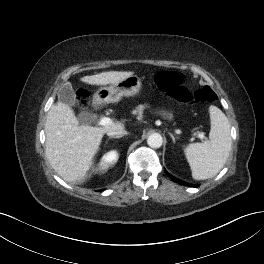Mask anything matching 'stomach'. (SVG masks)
<instances>
[{
	"mask_svg": "<svg viewBox=\"0 0 264 264\" xmlns=\"http://www.w3.org/2000/svg\"><path fill=\"white\" fill-rule=\"evenodd\" d=\"M141 89V79L136 75H131L117 83L111 84L108 87L100 88L94 94V101L97 104L115 103L121 100L123 96H136ZM160 115L163 118H168L169 114L166 111H161Z\"/></svg>",
	"mask_w": 264,
	"mask_h": 264,
	"instance_id": "0dacf381",
	"label": "stomach"
}]
</instances>
